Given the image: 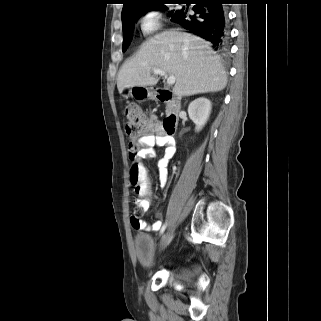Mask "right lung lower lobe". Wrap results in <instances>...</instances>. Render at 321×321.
I'll use <instances>...</instances> for the list:
<instances>
[{
  "label": "right lung lower lobe",
  "instance_id": "obj_1",
  "mask_svg": "<svg viewBox=\"0 0 321 321\" xmlns=\"http://www.w3.org/2000/svg\"><path fill=\"white\" fill-rule=\"evenodd\" d=\"M227 0H188L187 5L195 3L192 10L183 7L176 10L171 21L213 43L215 49L223 48L227 41L226 10L223 4Z\"/></svg>",
  "mask_w": 321,
  "mask_h": 321
}]
</instances>
